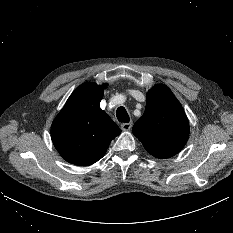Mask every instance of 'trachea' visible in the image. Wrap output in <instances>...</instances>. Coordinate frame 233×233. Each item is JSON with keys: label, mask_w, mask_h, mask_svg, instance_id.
Instances as JSON below:
<instances>
[{"label": "trachea", "mask_w": 233, "mask_h": 233, "mask_svg": "<svg viewBox=\"0 0 233 233\" xmlns=\"http://www.w3.org/2000/svg\"><path fill=\"white\" fill-rule=\"evenodd\" d=\"M116 116L119 122L128 123L130 120L129 115L123 106L117 109Z\"/></svg>", "instance_id": "3493384b"}]
</instances>
